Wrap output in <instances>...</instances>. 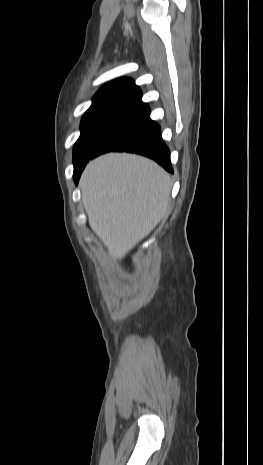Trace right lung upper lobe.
<instances>
[{"label":"right lung upper lobe","instance_id":"obj_1","mask_svg":"<svg viewBox=\"0 0 263 465\" xmlns=\"http://www.w3.org/2000/svg\"><path fill=\"white\" fill-rule=\"evenodd\" d=\"M141 90L130 78H122L105 84L93 98V103L121 100L141 101Z\"/></svg>","mask_w":263,"mask_h":465}]
</instances>
